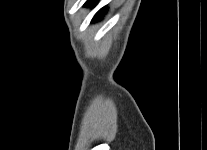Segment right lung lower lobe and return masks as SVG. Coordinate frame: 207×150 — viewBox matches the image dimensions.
I'll return each instance as SVG.
<instances>
[{"label":"right lung lower lobe","instance_id":"right-lung-lower-lobe-1","mask_svg":"<svg viewBox=\"0 0 207 150\" xmlns=\"http://www.w3.org/2000/svg\"><path fill=\"white\" fill-rule=\"evenodd\" d=\"M94 4H95V0H88L86 2V5H94ZM104 12H105V7L102 8L100 11H98L96 13V15L94 16L92 22H96V21L100 20L103 17Z\"/></svg>","mask_w":207,"mask_h":150}]
</instances>
